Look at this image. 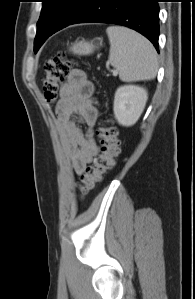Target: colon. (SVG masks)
Masks as SVG:
<instances>
[{
  "mask_svg": "<svg viewBox=\"0 0 195 299\" xmlns=\"http://www.w3.org/2000/svg\"><path fill=\"white\" fill-rule=\"evenodd\" d=\"M71 66L72 61L64 53H58L46 61L42 76V88L48 102L56 101ZM117 134V128L110 123H105L99 128L101 151L95 157L93 164L88 166L80 177L77 188L81 196L92 191L114 168L116 157L120 151Z\"/></svg>",
  "mask_w": 195,
  "mask_h": 299,
  "instance_id": "colon-1",
  "label": "colon"
}]
</instances>
